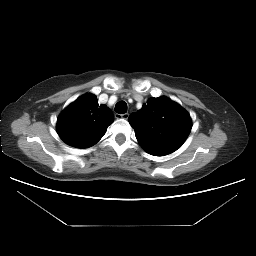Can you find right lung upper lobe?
<instances>
[{"mask_svg":"<svg viewBox=\"0 0 256 256\" xmlns=\"http://www.w3.org/2000/svg\"><path fill=\"white\" fill-rule=\"evenodd\" d=\"M113 115L107 108H98L92 96L76 100L59 117L57 129L68 145L88 148L94 145L112 123Z\"/></svg>","mask_w":256,"mask_h":256,"instance_id":"cb5924a9","label":"right lung upper lobe"}]
</instances>
